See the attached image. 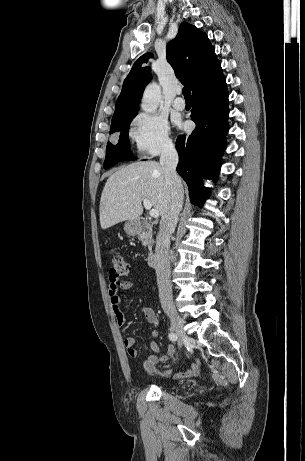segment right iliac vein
Segmentation results:
<instances>
[{
  "label": "right iliac vein",
  "instance_id": "right-iliac-vein-1",
  "mask_svg": "<svg viewBox=\"0 0 305 461\" xmlns=\"http://www.w3.org/2000/svg\"><path fill=\"white\" fill-rule=\"evenodd\" d=\"M166 313L171 321L172 328L176 332V334L179 336L182 342L189 340V337L185 333L184 327H183V321L181 317L178 315V313L174 309H168L166 310Z\"/></svg>",
  "mask_w": 305,
  "mask_h": 461
}]
</instances>
